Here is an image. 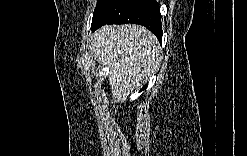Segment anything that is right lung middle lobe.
<instances>
[{
  "mask_svg": "<svg viewBox=\"0 0 247 156\" xmlns=\"http://www.w3.org/2000/svg\"><path fill=\"white\" fill-rule=\"evenodd\" d=\"M111 2V0H98L96 8L94 10L93 19L94 21L100 13L106 8V6Z\"/></svg>",
  "mask_w": 247,
  "mask_h": 156,
  "instance_id": "obj_1",
  "label": "right lung middle lobe"
}]
</instances>
